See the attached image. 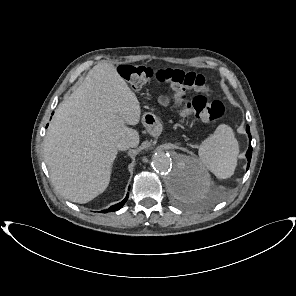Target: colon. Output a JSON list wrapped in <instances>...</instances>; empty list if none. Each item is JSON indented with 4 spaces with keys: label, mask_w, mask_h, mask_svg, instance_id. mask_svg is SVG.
<instances>
[{
    "label": "colon",
    "mask_w": 296,
    "mask_h": 296,
    "mask_svg": "<svg viewBox=\"0 0 296 296\" xmlns=\"http://www.w3.org/2000/svg\"><path fill=\"white\" fill-rule=\"evenodd\" d=\"M120 74L133 89L141 88L152 79L170 84L183 117L195 116L203 122H211L224 114V106L220 101L209 99L204 95L187 99L186 93L190 90L207 91L206 80L201 74L182 69L154 71L147 66L133 65L121 66Z\"/></svg>",
    "instance_id": "colon-1"
}]
</instances>
